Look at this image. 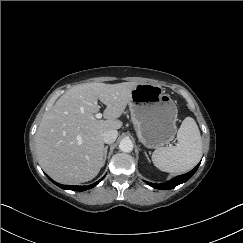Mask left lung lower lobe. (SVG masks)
<instances>
[{"label":"left lung lower lobe","mask_w":243,"mask_h":243,"mask_svg":"<svg viewBox=\"0 0 243 243\" xmlns=\"http://www.w3.org/2000/svg\"><path fill=\"white\" fill-rule=\"evenodd\" d=\"M199 165H200V163L190 172L177 176V177L169 180L166 183H162V184H154V183H149V182H146V183L148 185L152 186L153 188L160 189V190L173 189L177 185L182 184V183L186 182L187 180H189L193 176V174L196 172Z\"/></svg>","instance_id":"left-lung-lower-lobe-1"}]
</instances>
